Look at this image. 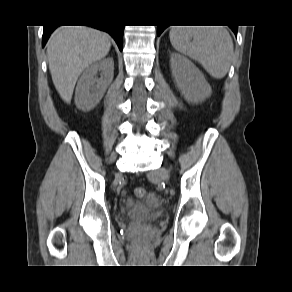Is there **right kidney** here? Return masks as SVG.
<instances>
[{"label":"right kidney","instance_id":"1","mask_svg":"<svg viewBox=\"0 0 292 292\" xmlns=\"http://www.w3.org/2000/svg\"><path fill=\"white\" fill-rule=\"evenodd\" d=\"M98 71L101 72L100 78L96 77ZM113 75L114 61L111 57L96 61L87 67L76 86V106L83 111L93 109L111 84Z\"/></svg>","mask_w":292,"mask_h":292}]
</instances>
